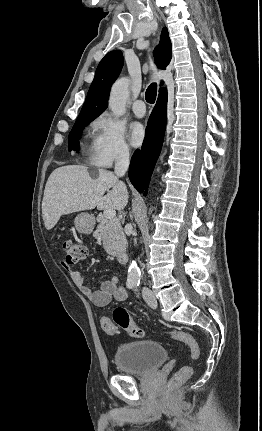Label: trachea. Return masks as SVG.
<instances>
[{
  "label": "trachea",
  "mask_w": 262,
  "mask_h": 431,
  "mask_svg": "<svg viewBox=\"0 0 262 431\" xmlns=\"http://www.w3.org/2000/svg\"><path fill=\"white\" fill-rule=\"evenodd\" d=\"M156 94H157V85L153 83L147 88L145 92L146 101L150 104H153L156 100Z\"/></svg>",
  "instance_id": "trachea-1"
}]
</instances>
